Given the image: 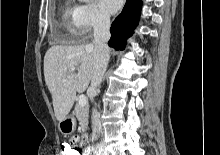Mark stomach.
I'll return each instance as SVG.
<instances>
[{
    "label": "stomach",
    "mask_w": 220,
    "mask_h": 155,
    "mask_svg": "<svg viewBox=\"0 0 220 155\" xmlns=\"http://www.w3.org/2000/svg\"><path fill=\"white\" fill-rule=\"evenodd\" d=\"M59 130L64 135H69L76 128V121L72 115L66 116L64 120L59 122Z\"/></svg>",
    "instance_id": "obj_1"
}]
</instances>
